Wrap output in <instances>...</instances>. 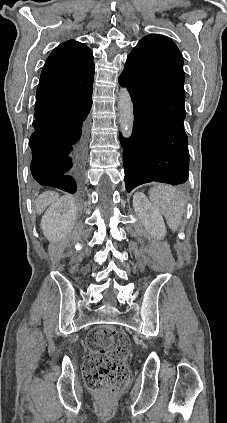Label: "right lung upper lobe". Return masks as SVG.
I'll use <instances>...</instances> for the list:
<instances>
[{"label": "right lung upper lobe", "mask_w": 227, "mask_h": 423, "mask_svg": "<svg viewBox=\"0 0 227 423\" xmlns=\"http://www.w3.org/2000/svg\"><path fill=\"white\" fill-rule=\"evenodd\" d=\"M94 68L93 54L85 44L74 40L64 42L49 55L36 97L61 101L73 96L91 95Z\"/></svg>", "instance_id": "right-lung-upper-lobe-1"}]
</instances>
